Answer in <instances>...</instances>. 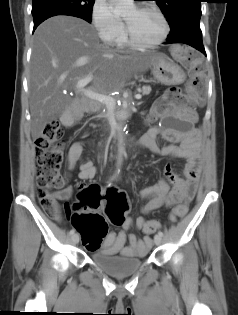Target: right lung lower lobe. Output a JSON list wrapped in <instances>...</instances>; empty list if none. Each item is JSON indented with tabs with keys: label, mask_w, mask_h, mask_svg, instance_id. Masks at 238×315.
I'll return each instance as SVG.
<instances>
[{
	"label": "right lung lower lobe",
	"mask_w": 238,
	"mask_h": 315,
	"mask_svg": "<svg viewBox=\"0 0 238 315\" xmlns=\"http://www.w3.org/2000/svg\"><path fill=\"white\" fill-rule=\"evenodd\" d=\"M56 15H69V16H75L82 18L86 20L87 22L91 23V20L84 18L83 16L79 15L78 13L67 11V10H61V9H54V10H46V11H41L37 14L33 15L34 18V28L33 31L37 28V26L42 23L44 20L47 18H50L52 16Z\"/></svg>",
	"instance_id": "right-lung-lower-lobe-1"
}]
</instances>
